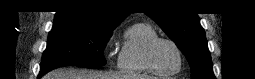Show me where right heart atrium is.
<instances>
[{
	"mask_svg": "<svg viewBox=\"0 0 255 79\" xmlns=\"http://www.w3.org/2000/svg\"><path fill=\"white\" fill-rule=\"evenodd\" d=\"M113 40H114V33H111L109 35V37L107 38V40L105 41V51L108 54V59L110 60L113 55L115 54V52L112 51V44H113Z\"/></svg>",
	"mask_w": 255,
	"mask_h": 79,
	"instance_id": "1",
	"label": "right heart atrium"
}]
</instances>
